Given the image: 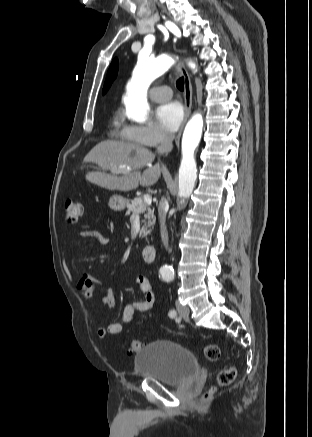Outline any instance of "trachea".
<instances>
[{"instance_id":"obj_1","label":"trachea","mask_w":312,"mask_h":437,"mask_svg":"<svg viewBox=\"0 0 312 437\" xmlns=\"http://www.w3.org/2000/svg\"><path fill=\"white\" fill-rule=\"evenodd\" d=\"M176 86L180 91L184 90V78L183 77L178 79Z\"/></svg>"}]
</instances>
